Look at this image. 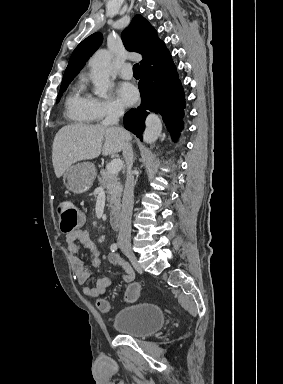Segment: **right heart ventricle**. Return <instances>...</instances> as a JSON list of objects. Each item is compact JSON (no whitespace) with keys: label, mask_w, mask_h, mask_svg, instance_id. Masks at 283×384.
<instances>
[{"label":"right heart ventricle","mask_w":283,"mask_h":384,"mask_svg":"<svg viewBox=\"0 0 283 384\" xmlns=\"http://www.w3.org/2000/svg\"><path fill=\"white\" fill-rule=\"evenodd\" d=\"M64 112L75 125L88 126L95 122L93 97L85 92L83 77H78L70 86L64 101Z\"/></svg>","instance_id":"e07e8e85"}]
</instances>
